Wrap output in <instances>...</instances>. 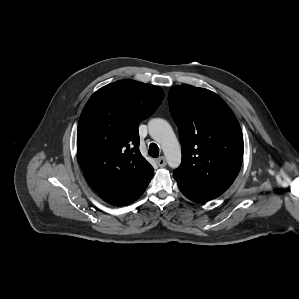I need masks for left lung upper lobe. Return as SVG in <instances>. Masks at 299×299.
Masks as SVG:
<instances>
[{
  "instance_id": "1",
  "label": "left lung upper lobe",
  "mask_w": 299,
  "mask_h": 299,
  "mask_svg": "<svg viewBox=\"0 0 299 299\" xmlns=\"http://www.w3.org/2000/svg\"><path fill=\"white\" fill-rule=\"evenodd\" d=\"M170 113L179 130L182 162L173 172L178 185L217 198L233 183L243 160L238 120L214 92L191 85L169 91Z\"/></svg>"
}]
</instances>
